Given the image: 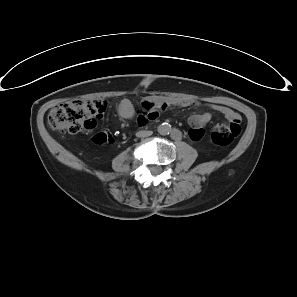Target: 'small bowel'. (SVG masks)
Returning a JSON list of instances; mask_svg holds the SVG:
<instances>
[{"mask_svg": "<svg viewBox=\"0 0 297 297\" xmlns=\"http://www.w3.org/2000/svg\"><path fill=\"white\" fill-rule=\"evenodd\" d=\"M170 105H178L182 107H187L193 105L191 101L188 100H155V101H144L142 103V111L139 114L138 122L140 125H145L149 120H154L158 117V111L165 109ZM213 109L224 115L228 120H232L239 116L232 109L221 106L214 105ZM119 115L124 119H130L135 114V109L133 104L127 100H122L117 107ZM211 114L209 112H204L200 114H194L189 118V123L192 129L189 131V136L192 140H200L204 134V126L211 120Z\"/></svg>", "mask_w": 297, "mask_h": 297, "instance_id": "1", "label": "small bowel"}]
</instances>
